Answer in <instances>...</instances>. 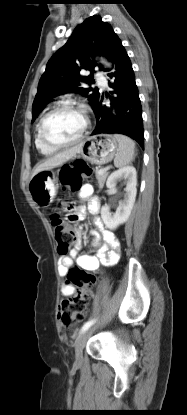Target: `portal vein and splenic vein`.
Returning <instances> with one entry per match:
<instances>
[{"mask_svg":"<svg viewBox=\"0 0 187 415\" xmlns=\"http://www.w3.org/2000/svg\"><path fill=\"white\" fill-rule=\"evenodd\" d=\"M108 170V168H103L99 170V174H103Z\"/></svg>","mask_w":187,"mask_h":415,"instance_id":"18ae733b","label":"portal vein and splenic vein"}]
</instances>
